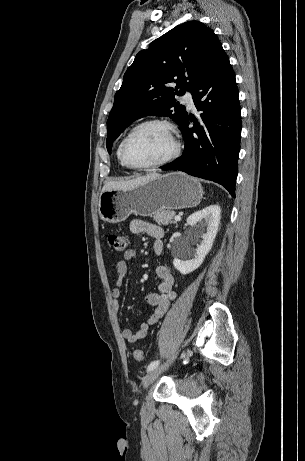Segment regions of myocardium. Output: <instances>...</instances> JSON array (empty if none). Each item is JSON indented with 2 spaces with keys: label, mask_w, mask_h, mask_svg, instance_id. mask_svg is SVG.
<instances>
[{
  "label": "myocardium",
  "mask_w": 305,
  "mask_h": 461,
  "mask_svg": "<svg viewBox=\"0 0 305 461\" xmlns=\"http://www.w3.org/2000/svg\"><path fill=\"white\" fill-rule=\"evenodd\" d=\"M153 125L161 126L167 130V132L170 134L172 141H173V150L168 156H166L165 158L157 162L150 163V164H136L130 159L128 155L129 141L139 130H141L144 127L153 126ZM180 152H181V143H180L176 129L170 122L163 120V119H149V120H146V121H143L137 124L125 136V138L122 141V145H121V154H122V158L124 162L126 163L128 167L132 169H136V170H151V169L162 167L172 162L173 160H175L179 156Z\"/></svg>",
  "instance_id": "obj_1"
}]
</instances>
